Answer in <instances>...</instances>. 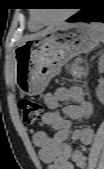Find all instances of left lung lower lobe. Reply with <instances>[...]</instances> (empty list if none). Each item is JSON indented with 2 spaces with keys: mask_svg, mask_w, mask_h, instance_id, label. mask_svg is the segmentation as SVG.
I'll list each match as a JSON object with an SVG mask.
<instances>
[{
  "mask_svg": "<svg viewBox=\"0 0 104 169\" xmlns=\"http://www.w3.org/2000/svg\"><path fill=\"white\" fill-rule=\"evenodd\" d=\"M82 10L67 22H104V3L101 0H84Z\"/></svg>",
  "mask_w": 104,
  "mask_h": 169,
  "instance_id": "1",
  "label": "left lung lower lobe"
}]
</instances>
